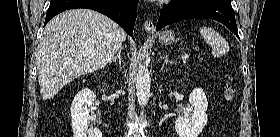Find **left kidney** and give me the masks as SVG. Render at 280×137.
<instances>
[{"instance_id": "5707ae66", "label": "left kidney", "mask_w": 280, "mask_h": 137, "mask_svg": "<svg viewBox=\"0 0 280 137\" xmlns=\"http://www.w3.org/2000/svg\"><path fill=\"white\" fill-rule=\"evenodd\" d=\"M189 103L194 108L191 115L179 117L175 121V130L179 137H198L208 121L206 114L208 102L201 88L191 92Z\"/></svg>"}]
</instances>
